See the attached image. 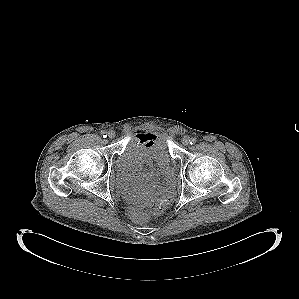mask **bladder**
Returning a JSON list of instances; mask_svg holds the SVG:
<instances>
[{"label": "bladder", "mask_w": 299, "mask_h": 299, "mask_svg": "<svg viewBox=\"0 0 299 299\" xmlns=\"http://www.w3.org/2000/svg\"><path fill=\"white\" fill-rule=\"evenodd\" d=\"M142 162L157 164L171 180H174V160L164 134H157L150 143L131 137L114 162L113 176L116 182L127 181Z\"/></svg>", "instance_id": "1"}]
</instances>
